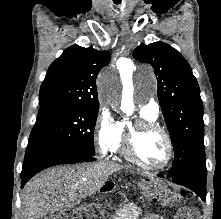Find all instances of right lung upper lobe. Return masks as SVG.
Masks as SVG:
<instances>
[{
  "mask_svg": "<svg viewBox=\"0 0 221 219\" xmlns=\"http://www.w3.org/2000/svg\"><path fill=\"white\" fill-rule=\"evenodd\" d=\"M109 61L108 51L78 45L67 48L50 65L40 88L39 104L99 105L96 78Z\"/></svg>",
  "mask_w": 221,
  "mask_h": 219,
  "instance_id": "obj_1",
  "label": "right lung upper lobe"
}]
</instances>
